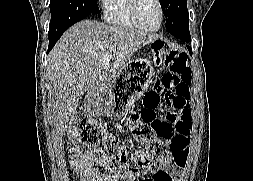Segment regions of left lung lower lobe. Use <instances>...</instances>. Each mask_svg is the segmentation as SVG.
Returning <instances> with one entry per match:
<instances>
[{
  "label": "left lung lower lobe",
  "mask_w": 253,
  "mask_h": 181,
  "mask_svg": "<svg viewBox=\"0 0 253 181\" xmlns=\"http://www.w3.org/2000/svg\"><path fill=\"white\" fill-rule=\"evenodd\" d=\"M182 40H183V39H182ZM187 48H188L190 54L192 55V49H191V47H190V46H187Z\"/></svg>",
  "instance_id": "obj_1"
}]
</instances>
